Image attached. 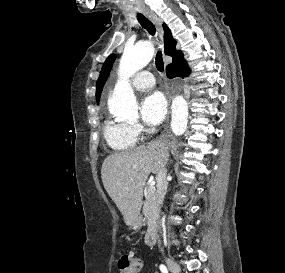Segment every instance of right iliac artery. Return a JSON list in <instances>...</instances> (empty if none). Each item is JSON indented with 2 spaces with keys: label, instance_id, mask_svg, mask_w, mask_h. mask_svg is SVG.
I'll use <instances>...</instances> for the list:
<instances>
[{
  "label": "right iliac artery",
  "instance_id": "1",
  "mask_svg": "<svg viewBox=\"0 0 285 273\" xmlns=\"http://www.w3.org/2000/svg\"><path fill=\"white\" fill-rule=\"evenodd\" d=\"M160 270H161L162 273H168V270H167L166 266L163 265V264L160 265Z\"/></svg>",
  "mask_w": 285,
  "mask_h": 273
}]
</instances>
